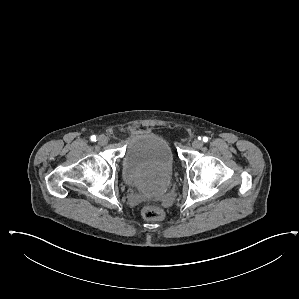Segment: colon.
Segmentation results:
<instances>
[{"mask_svg": "<svg viewBox=\"0 0 299 299\" xmlns=\"http://www.w3.org/2000/svg\"><path fill=\"white\" fill-rule=\"evenodd\" d=\"M141 216L148 221H162L165 213L158 207L147 204L141 208Z\"/></svg>", "mask_w": 299, "mask_h": 299, "instance_id": "5ec220e1", "label": "colon"}]
</instances>
